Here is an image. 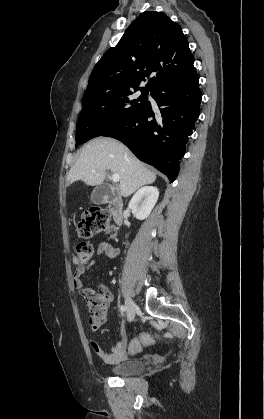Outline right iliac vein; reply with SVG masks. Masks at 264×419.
<instances>
[{
    "instance_id": "1",
    "label": "right iliac vein",
    "mask_w": 264,
    "mask_h": 419,
    "mask_svg": "<svg viewBox=\"0 0 264 419\" xmlns=\"http://www.w3.org/2000/svg\"><path fill=\"white\" fill-rule=\"evenodd\" d=\"M126 311H127V318L129 321H133L136 314V304L130 298H126Z\"/></svg>"
}]
</instances>
